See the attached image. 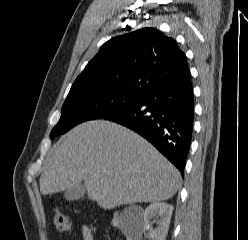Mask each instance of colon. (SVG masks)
I'll return each mask as SVG.
<instances>
[{
    "label": "colon",
    "mask_w": 248,
    "mask_h": 240,
    "mask_svg": "<svg viewBox=\"0 0 248 240\" xmlns=\"http://www.w3.org/2000/svg\"><path fill=\"white\" fill-rule=\"evenodd\" d=\"M52 223L56 230L64 234H72V225L70 219L57 207H50Z\"/></svg>",
    "instance_id": "colon-1"
}]
</instances>
